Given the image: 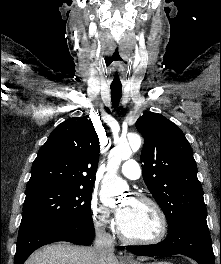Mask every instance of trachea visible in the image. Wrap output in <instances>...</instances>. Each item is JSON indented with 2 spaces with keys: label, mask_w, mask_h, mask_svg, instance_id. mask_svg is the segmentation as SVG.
<instances>
[{
  "label": "trachea",
  "mask_w": 221,
  "mask_h": 264,
  "mask_svg": "<svg viewBox=\"0 0 221 264\" xmlns=\"http://www.w3.org/2000/svg\"><path fill=\"white\" fill-rule=\"evenodd\" d=\"M122 97V85H111V101L112 106L116 108Z\"/></svg>",
  "instance_id": "1"
}]
</instances>
